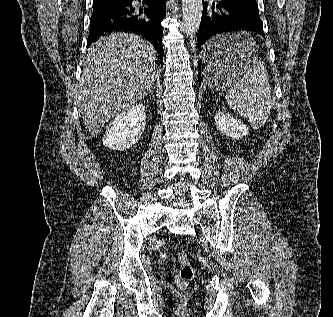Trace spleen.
Wrapping results in <instances>:
<instances>
[{"mask_svg": "<svg viewBox=\"0 0 333 317\" xmlns=\"http://www.w3.org/2000/svg\"><path fill=\"white\" fill-rule=\"evenodd\" d=\"M224 44L231 49L248 53L254 49V42L246 32L228 34ZM229 106L239 115L246 118L252 128H261L271 110V88L268 81L266 68L261 61L252 57L243 72L238 76L226 94Z\"/></svg>", "mask_w": 333, "mask_h": 317, "instance_id": "3e777b00", "label": "spleen"}]
</instances>
